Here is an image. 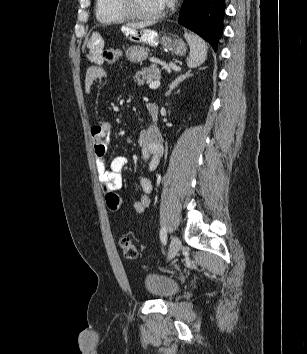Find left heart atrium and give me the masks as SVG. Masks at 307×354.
<instances>
[{"mask_svg": "<svg viewBox=\"0 0 307 354\" xmlns=\"http://www.w3.org/2000/svg\"><path fill=\"white\" fill-rule=\"evenodd\" d=\"M172 2V0H162V3L164 6L170 4Z\"/></svg>", "mask_w": 307, "mask_h": 354, "instance_id": "1", "label": "left heart atrium"}]
</instances>
